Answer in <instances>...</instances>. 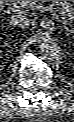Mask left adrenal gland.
<instances>
[{
    "instance_id": "left-adrenal-gland-1",
    "label": "left adrenal gland",
    "mask_w": 74,
    "mask_h": 122,
    "mask_svg": "<svg viewBox=\"0 0 74 122\" xmlns=\"http://www.w3.org/2000/svg\"><path fill=\"white\" fill-rule=\"evenodd\" d=\"M56 19L58 20V16H56ZM64 29L66 30L67 33L70 32L69 28L66 25L64 26Z\"/></svg>"
}]
</instances>
